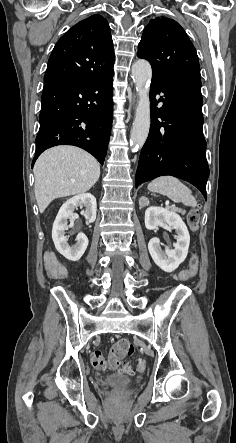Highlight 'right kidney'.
<instances>
[{
    "instance_id": "ca27d5eb",
    "label": "right kidney",
    "mask_w": 236,
    "mask_h": 443,
    "mask_svg": "<svg viewBox=\"0 0 236 443\" xmlns=\"http://www.w3.org/2000/svg\"><path fill=\"white\" fill-rule=\"evenodd\" d=\"M77 207H84L82 211L85 219L93 223L96 219L97 203L96 198L90 194H79L68 199L60 208L53 223L52 239L56 249L70 261H78L84 254L88 246V238L84 233H79L76 237V244L70 246L65 231L68 229V220L75 218L74 210Z\"/></svg>"
}]
</instances>
